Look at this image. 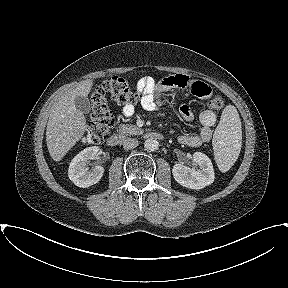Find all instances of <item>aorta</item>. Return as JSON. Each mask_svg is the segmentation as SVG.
<instances>
[{"label": "aorta", "instance_id": "obj_1", "mask_svg": "<svg viewBox=\"0 0 288 288\" xmlns=\"http://www.w3.org/2000/svg\"><path fill=\"white\" fill-rule=\"evenodd\" d=\"M144 147L148 151H155L159 147V143L157 140L153 138L146 139L144 142Z\"/></svg>", "mask_w": 288, "mask_h": 288}]
</instances>
